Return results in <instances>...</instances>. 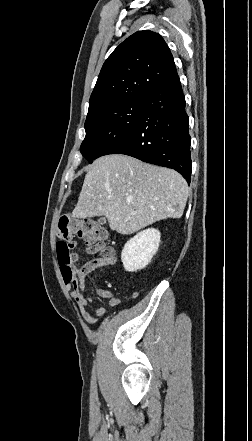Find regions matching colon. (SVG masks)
I'll return each mask as SVG.
<instances>
[{
	"label": "colon",
	"instance_id": "1",
	"mask_svg": "<svg viewBox=\"0 0 252 441\" xmlns=\"http://www.w3.org/2000/svg\"><path fill=\"white\" fill-rule=\"evenodd\" d=\"M77 235L82 238L90 252H99L105 247L106 232L91 219H76L70 214L61 216L58 224L56 244L57 258L64 280L72 281L75 276L73 263L75 255L71 252L73 242L70 239Z\"/></svg>",
	"mask_w": 252,
	"mask_h": 441
}]
</instances>
